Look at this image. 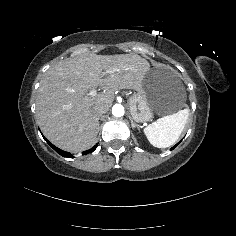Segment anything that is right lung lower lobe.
<instances>
[{
  "instance_id": "1",
  "label": "right lung lower lobe",
  "mask_w": 236,
  "mask_h": 236,
  "mask_svg": "<svg viewBox=\"0 0 236 236\" xmlns=\"http://www.w3.org/2000/svg\"><path fill=\"white\" fill-rule=\"evenodd\" d=\"M44 137V136H43ZM44 139L47 141V143L57 152L59 153L61 156L63 157H70L73 158V155H71L69 152H65L59 148H57L56 146H54L53 144H51L45 137ZM97 145H95L93 148H91L90 150L84 151L83 154H87V153H91L96 149Z\"/></svg>"
}]
</instances>
